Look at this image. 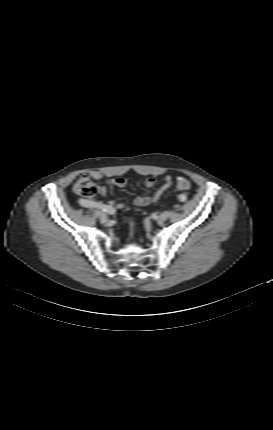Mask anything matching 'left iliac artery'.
Returning a JSON list of instances; mask_svg holds the SVG:
<instances>
[{
	"label": "left iliac artery",
	"mask_w": 273,
	"mask_h": 430,
	"mask_svg": "<svg viewBox=\"0 0 273 430\" xmlns=\"http://www.w3.org/2000/svg\"><path fill=\"white\" fill-rule=\"evenodd\" d=\"M187 200H188V197H187L185 194H181V195L179 196V202H180L181 204H184Z\"/></svg>",
	"instance_id": "1"
}]
</instances>
